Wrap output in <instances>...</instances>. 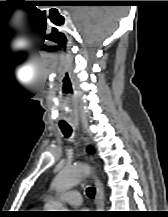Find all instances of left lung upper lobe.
Here are the masks:
<instances>
[{
    "label": "left lung upper lobe",
    "mask_w": 168,
    "mask_h": 217,
    "mask_svg": "<svg viewBox=\"0 0 168 217\" xmlns=\"http://www.w3.org/2000/svg\"><path fill=\"white\" fill-rule=\"evenodd\" d=\"M88 150L93 151V148H92V147H89Z\"/></svg>",
    "instance_id": "1"
}]
</instances>
